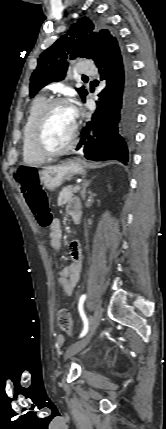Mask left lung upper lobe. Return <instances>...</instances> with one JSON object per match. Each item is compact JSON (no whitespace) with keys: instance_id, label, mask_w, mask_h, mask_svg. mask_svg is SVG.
<instances>
[{"instance_id":"5c2ea615","label":"left lung upper lobe","mask_w":166,"mask_h":429,"mask_svg":"<svg viewBox=\"0 0 166 429\" xmlns=\"http://www.w3.org/2000/svg\"><path fill=\"white\" fill-rule=\"evenodd\" d=\"M117 37L108 29H99L88 18L84 17L73 24L68 33L59 38L51 47L45 50L37 61V68L30 78V97L52 81L64 79L69 61L77 57L94 59L99 42L104 45ZM82 100H85L87 90L76 88Z\"/></svg>"}]
</instances>
